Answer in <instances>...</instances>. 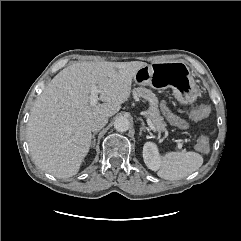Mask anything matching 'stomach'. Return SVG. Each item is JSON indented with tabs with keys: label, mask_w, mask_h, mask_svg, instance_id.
<instances>
[{
	"label": "stomach",
	"mask_w": 241,
	"mask_h": 241,
	"mask_svg": "<svg viewBox=\"0 0 241 241\" xmlns=\"http://www.w3.org/2000/svg\"><path fill=\"white\" fill-rule=\"evenodd\" d=\"M134 80L138 85L157 90L172 88L175 97L184 104L194 102L198 96V87L188 66L182 61L146 65L137 71Z\"/></svg>",
	"instance_id": "1"
}]
</instances>
